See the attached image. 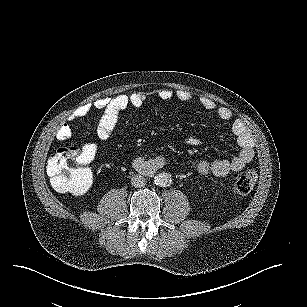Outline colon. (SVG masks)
<instances>
[{"label":"colon","mask_w":307,"mask_h":307,"mask_svg":"<svg viewBox=\"0 0 307 307\" xmlns=\"http://www.w3.org/2000/svg\"><path fill=\"white\" fill-rule=\"evenodd\" d=\"M47 172L52 186L61 193L83 194L92 184V172L78 147L59 148L49 158ZM256 180V170L247 169L235 179L233 192L237 195L250 193Z\"/></svg>","instance_id":"obj_1"}]
</instances>
